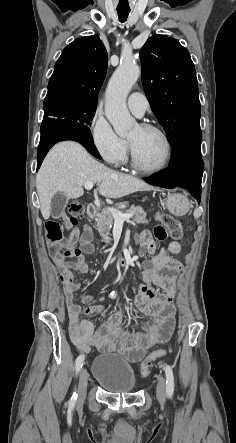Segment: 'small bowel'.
Segmentation results:
<instances>
[{
  "instance_id": "obj_1",
  "label": "small bowel",
  "mask_w": 236,
  "mask_h": 443,
  "mask_svg": "<svg viewBox=\"0 0 236 443\" xmlns=\"http://www.w3.org/2000/svg\"><path fill=\"white\" fill-rule=\"evenodd\" d=\"M72 233H76L77 238L70 239L65 247L71 248L78 243L81 253L77 261L57 262V266L67 309L69 333L74 345L84 353L98 348L103 352H120L127 359L137 361L131 359L130 355L136 353L143 356L154 345L167 342L175 328L174 299L177 291L174 278L181 268L180 263L169 256V252L179 253L180 245L171 243L169 248L162 247L155 256L145 262L143 282L137 288L133 304H117L107 321L96 330L95 321L82 319L81 316L100 315L104 312V307H83L74 301V294L82 288L75 279V273L89 272L83 254L94 251L93 234L89 226L83 228L80 237L78 230H73ZM136 241L147 251H154V240L148 231H143ZM150 284L159 286L163 292L156 291ZM80 302L84 305L90 304L92 297L82 296ZM126 311L133 312L139 318L138 328H123V313Z\"/></svg>"
}]
</instances>
